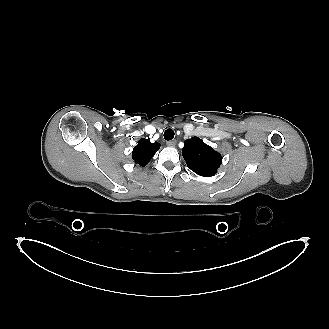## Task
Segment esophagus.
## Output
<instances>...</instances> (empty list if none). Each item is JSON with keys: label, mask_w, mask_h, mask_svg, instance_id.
Here are the masks:
<instances>
[{"label": "esophagus", "mask_w": 329, "mask_h": 329, "mask_svg": "<svg viewBox=\"0 0 329 329\" xmlns=\"http://www.w3.org/2000/svg\"><path fill=\"white\" fill-rule=\"evenodd\" d=\"M176 140H171V141H167V146H169V147H175L176 146Z\"/></svg>", "instance_id": "1"}]
</instances>
